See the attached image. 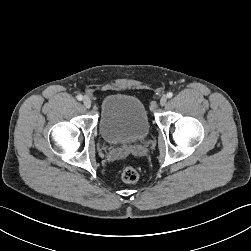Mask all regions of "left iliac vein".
<instances>
[{"mask_svg": "<svg viewBox=\"0 0 251 251\" xmlns=\"http://www.w3.org/2000/svg\"><path fill=\"white\" fill-rule=\"evenodd\" d=\"M167 102V96L166 95H163L161 98H160V105L161 106H164Z\"/></svg>", "mask_w": 251, "mask_h": 251, "instance_id": "obj_1", "label": "left iliac vein"}]
</instances>
